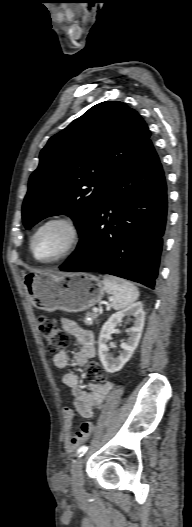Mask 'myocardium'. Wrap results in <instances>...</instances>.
Returning a JSON list of instances; mask_svg holds the SVG:
<instances>
[{"label":"myocardium","instance_id":"myocardium-1","mask_svg":"<svg viewBox=\"0 0 192 527\" xmlns=\"http://www.w3.org/2000/svg\"><path fill=\"white\" fill-rule=\"evenodd\" d=\"M55 222L63 223L69 228V231H70L69 242L67 246L64 248V250L60 252L59 254H57L56 256L49 258V259L39 258L35 251L36 237L43 228ZM81 238H82L81 227L74 217L67 215V214H56V215L46 218L35 228L30 238V250H31L33 257L38 262L45 263V264L55 263V262L61 261L69 257L78 248L81 242Z\"/></svg>","mask_w":192,"mask_h":527}]
</instances>
